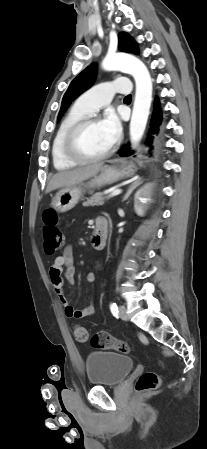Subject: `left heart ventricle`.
I'll use <instances>...</instances> for the list:
<instances>
[{
  "instance_id": "b2bd125f",
  "label": "left heart ventricle",
  "mask_w": 207,
  "mask_h": 449,
  "mask_svg": "<svg viewBox=\"0 0 207 449\" xmlns=\"http://www.w3.org/2000/svg\"><path fill=\"white\" fill-rule=\"evenodd\" d=\"M78 148L87 155H98L112 144L100 123L84 128L77 138Z\"/></svg>"
}]
</instances>
